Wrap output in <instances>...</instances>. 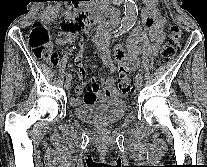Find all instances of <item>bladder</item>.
Returning <instances> with one entry per match:
<instances>
[{
    "mask_svg": "<svg viewBox=\"0 0 207 167\" xmlns=\"http://www.w3.org/2000/svg\"><path fill=\"white\" fill-rule=\"evenodd\" d=\"M126 112V103L120 96H107L95 101L83 102L75 107L77 118L95 125L117 122Z\"/></svg>",
    "mask_w": 207,
    "mask_h": 167,
    "instance_id": "31cf9c89",
    "label": "bladder"
}]
</instances>
